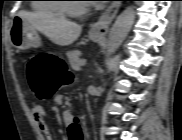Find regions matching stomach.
Instances as JSON below:
<instances>
[{"label":"stomach","mask_w":182,"mask_h":140,"mask_svg":"<svg viewBox=\"0 0 182 140\" xmlns=\"http://www.w3.org/2000/svg\"><path fill=\"white\" fill-rule=\"evenodd\" d=\"M9 34L12 45L17 49L22 50L40 45L38 32L25 18L19 15L13 18ZM89 38L92 41H98L101 35L89 32Z\"/></svg>","instance_id":"obj_1"}]
</instances>
